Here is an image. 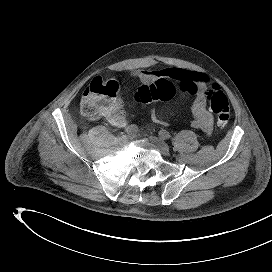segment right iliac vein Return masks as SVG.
I'll return each mask as SVG.
<instances>
[{
	"label": "right iliac vein",
	"mask_w": 272,
	"mask_h": 272,
	"mask_svg": "<svg viewBox=\"0 0 272 272\" xmlns=\"http://www.w3.org/2000/svg\"><path fill=\"white\" fill-rule=\"evenodd\" d=\"M129 137L127 135H123L119 138V145L121 147H126L129 144Z\"/></svg>",
	"instance_id": "right-iliac-vein-1"
}]
</instances>
